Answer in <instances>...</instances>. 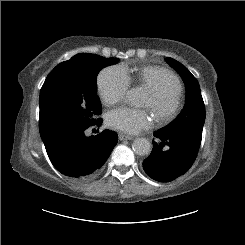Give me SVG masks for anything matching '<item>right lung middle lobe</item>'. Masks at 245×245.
I'll return each mask as SVG.
<instances>
[{
    "mask_svg": "<svg viewBox=\"0 0 245 245\" xmlns=\"http://www.w3.org/2000/svg\"><path fill=\"white\" fill-rule=\"evenodd\" d=\"M118 59L77 54L60 63L46 78L40 91L39 129L42 140L72 127H89L102 112L97 75Z\"/></svg>",
    "mask_w": 245,
    "mask_h": 245,
    "instance_id": "right-lung-middle-lobe-1",
    "label": "right lung middle lobe"
}]
</instances>
